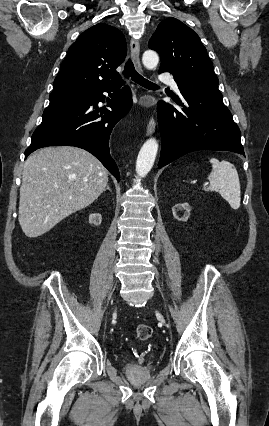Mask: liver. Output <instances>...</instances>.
Returning <instances> with one entry per match:
<instances>
[{
	"label": "liver",
	"instance_id": "1",
	"mask_svg": "<svg viewBox=\"0 0 269 426\" xmlns=\"http://www.w3.org/2000/svg\"><path fill=\"white\" fill-rule=\"evenodd\" d=\"M108 171L89 152L46 147L24 164L18 220L24 234L39 237L67 216L92 204L105 190Z\"/></svg>",
	"mask_w": 269,
	"mask_h": 426
}]
</instances>
